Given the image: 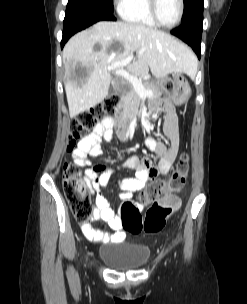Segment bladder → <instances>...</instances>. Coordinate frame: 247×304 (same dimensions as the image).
<instances>
[{"instance_id": "obj_1", "label": "bladder", "mask_w": 247, "mask_h": 304, "mask_svg": "<svg viewBox=\"0 0 247 304\" xmlns=\"http://www.w3.org/2000/svg\"><path fill=\"white\" fill-rule=\"evenodd\" d=\"M151 251L147 246L125 242H109L99 250L100 259L117 271L135 270L144 266Z\"/></svg>"}]
</instances>
